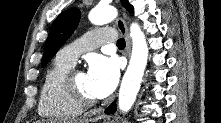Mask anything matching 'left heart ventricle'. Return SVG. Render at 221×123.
Segmentation results:
<instances>
[{
  "label": "left heart ventricle",
  "mask_w": 221,
  "mask_h": 123,
  "mask_svg": "<svg viewBox=\"0 0 221 123\" xmlns=\"http://www.w3.org/2000/svg\"><path fill=\"white\" fill-rule=\"evenodd\" d=\"M75 83L77 87L80 89V91L86 95L89 98L97 99V97L94 95L90 83L88 80V77L86 73L84 72H77L74 76Z\"/></svg>",
  "instance_id": "left-heart-ventricle-1"
}]
</instances>
